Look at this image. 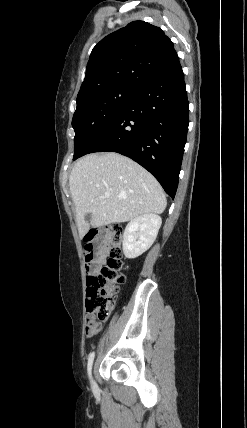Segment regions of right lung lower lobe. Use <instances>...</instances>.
Here are the masks:
<instances>
[{"label": "right lung lower lobe", "instance_id": "obj_1", "mask_svg": "<svg viewBox=\"0 0 247 428\" xmlns=\"http://www.w3.org/2000/svg\"><path fill=\"white\" fill-rule=\"evenodd\" d=\"M188 124L189 102L178 60L141 88L81 156L93 152L125 155L153 174L174 199Z\"/></svg>", "mask_w": 247, "mask_h": 428}]
</instances>
